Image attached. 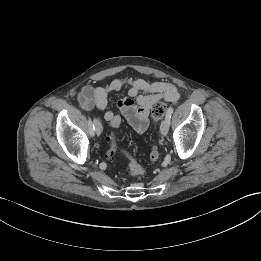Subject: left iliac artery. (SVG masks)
<instances>
[{
    "mask_svg": "<svg viewBox=\"0 0 261 261\" xmlns=\"http://www.w3.org/2000/svg\"><path fill=\"white\" fill-rule=\"evenodd\" d=\"M172 113H173V108L170 107V108L167 110L166 116H165L168 121H170V118H171V116H172Z\"/></svg>",
    "mask_w": 261,
    "mask_h": 261,
    "instance_id": "obj_1",
    "label": "left iliac artery"
}]
</instances>
